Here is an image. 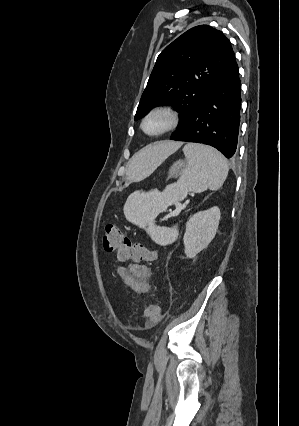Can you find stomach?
<instances>
[{
	"label": "stomach",
	"instance_id": "stomach-1",
	"mask_svg": "<svg viewBox=\"0 0 299 426\" xmlns=\"http://www.w3.org/2000/svg\"><path fill=\"white\" fill-rule=\"evenodd\" d=\"M187 166L188 162L186 159L175 162L169 169L168 178L181 176Z\"/></svg>",
	"mask_w": 299,
	"mask_h": 426
}]
</instances>
